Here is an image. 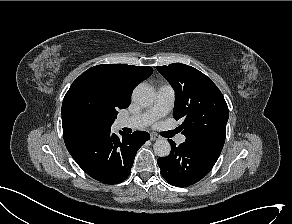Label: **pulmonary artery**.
<instances>
[{
    "mask_svg": "<svg viewBox=\"0 0 292 224\" xmlns=\"http://www.w3.org/2000/svg\"><path fill=\"white\" fill-rule=\"evenodd\" d=\"M175 91L170 85H163L157 89L156 99L153 105L144 113L124 117L118 120L119 127H128L132 129H141L149 126L157 119L167 115L173 107ZM185 141V136L178 138L179 143Z\"/></svg>",
    "mask_w": 292,
    "mask_h": 224,
    "instance_id": "pulmonary-artery-1",
    "label": "pulmonary artery"
}]
</instances>
